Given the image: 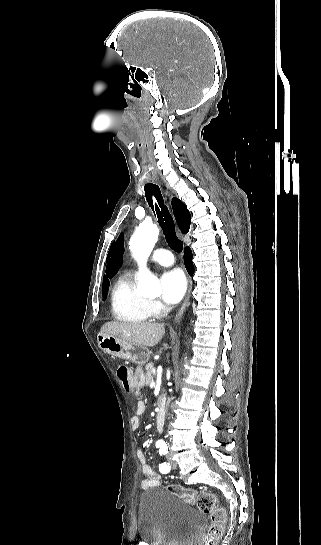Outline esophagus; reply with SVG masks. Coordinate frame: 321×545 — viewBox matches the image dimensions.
Masks as SVG:
<instances>
[{
	"label": "esophagus",
	"instance_id": "esophagus-1",
	"mask_svg": "<svg viewBox=\"0 0 321 545\" xmlns=\"http://www.w3.org/2000/svg\"><path fill=\"white\" fill-rule=\"evenodd\" d=\"M191 289H192V282L190 281L186 299L184 300L179 312L177 313V315L175 317V320H174V323H177V322L180 321L181 316H182V314L185 311V308L187 306L188 300L190 299Z\"/></svg>",
	"mask_w": 321,
	"mask_h": 545
}]
</instances>
